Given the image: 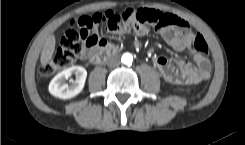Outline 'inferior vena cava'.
Returning a JSON list of instances; mask_svg holds the SVG:
<instances>
[{"label":"inferior vena cava","mask_w":245,"mask_h":145,"mask_svg":"<svg viewBox=\"0 0 245 145\" xmlns=\"http://www.w3.org/2000/svg\"><path fill=\"white\" fill-rule=\"evenodd\" d=\"M120 64V60L117 56H114V57H111L109 58L108 62H107V65L109 67H116Z\"/></svg>","instance_id":"1"}]
</instances>
